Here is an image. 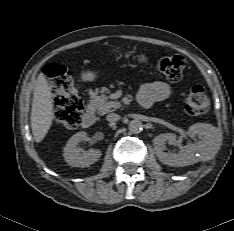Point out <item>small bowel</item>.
I'll list each match as a JSON object with an SVG mask.
<instances>
[{
    "mask_svg": "<svg viewBox=\"0 0 234 231\" xmlns=\"http://www.w3.org/2000/svg\"><path fill=\"white\" fill-rule=\"evenodd\" d=\"M172 94L171 86L166 82H153L144 85L138 95L139 103L149 107L155 102L164 101Z\"/></svg>",
    "mask_w": 234,
    "mask_h": 231,
    "instance_id": "small-bowel-1",
    "label": "small bowel"
}]
</instances>
